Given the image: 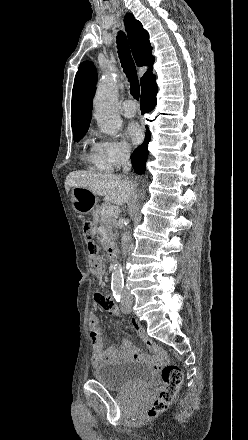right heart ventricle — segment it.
<instances>
[{
    "label": "right heart ventricle",
    "mask_w": 248,
    "mask_h": 440,
    "mask_svg": "<svg viewBox=\"0 0 248 440\" xmlns=\"http://www.w3.org/2000/svg\"><path fill=\"white\" fill-rule=\"evenodd\" d=\"M84 158L92 170L106 171L98 162L95 145H91L89 150L84 154Z\"/></svg>",
    "instance_id": "e07e8e85"
}]
</instances>
